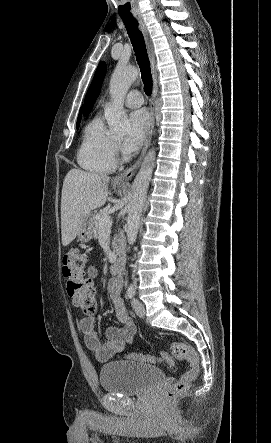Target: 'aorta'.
<instances>
[{
  "label": "aorta",
  "instance_id": "1",
  "mask_svg": "<svg viewBox=\"0 0 271 443\" xmlns=\"http://www.w3.org/2000/svg\"><path fill=\"white\" fill-rule=\"evenodd\" d=\"M138 74L139 72L134 66H117L111 76L109 90L113 104L110 108H105L104 116L105 120H107L109 130H112V132H127V130L131 128L128 116L123 108L124 98L133 82L138 78ZM155 158V150H149L132 184L131 200L128 204L126 223L127 239L130 245L137 239L139 222L141 220L144 202L147 198L146 194L152 178Z\"/></svg>",
  "mask_w": 271,
  "mask_h": 443
}]
</instances>
